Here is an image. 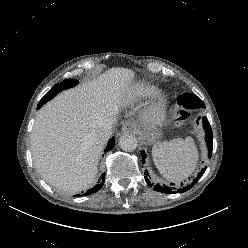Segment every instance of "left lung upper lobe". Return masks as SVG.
<instances>
[{
	"label": "left lung upper lobe",
	"mask_w": 248,
	"mask_h": 248,
	"mask_svg": "<svg viewBox=\"0 0 248 248\" xmlns=\"http://www.w3.org/2000/svg\"><path fill=\"white\" fill-rule=\"evenodd\" d=\"M178 104L185 108H200L204 107L203 101L195 95L183 94L178 98Z\"/></svg>",
	"instance_id": "1"
}]
</instances>
